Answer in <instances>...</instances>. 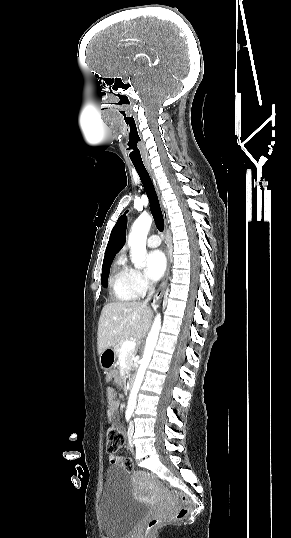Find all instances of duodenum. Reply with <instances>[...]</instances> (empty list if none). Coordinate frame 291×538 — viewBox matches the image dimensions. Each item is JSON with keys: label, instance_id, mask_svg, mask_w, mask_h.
<instances>
[{"label": "duodenum", "instance_id": "duodenum-1", "mask_svg": "<svg viewBox=\"0 0 291 538\" xmlns=\"http://www.w3.org/2000/svg\"><path fill=\"white\" fill-rule=\"evenodd\" d=\"M133 378H134V373L128 372L126 374V382H128L127 383L128 387H133Z\"/></svg>", "mask_w": 291, "mask_h": 538}]
</instances>
